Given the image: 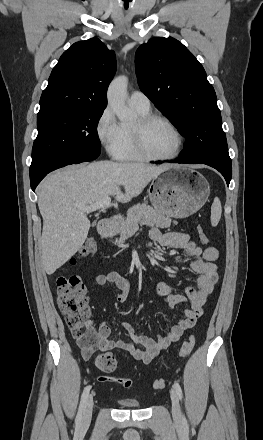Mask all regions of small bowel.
<instances>
[{"label":"small bowel","instance_id":"small-bowel-1","mask_svg":"<svg viewBox=\"0 0 263 440\" xmlns=\"http://www.w3.org/2000/svg\"><path fill=\"white\" fill-rule=\"evenodd\" d=\"M149 238L163 247L182 249L184 255L177 257V262H181L183 258L192 259L190 268L198 274L195 286L187 287L184 294H176L172 292L171 287L164 280L157 285V294L168 306L188 305L184 311V317L165 335H158L156 339L137 334L131 323L125 322L123 328L131 338L129 341L123 339L112 340L108 319H106L98 325L95 331L97 342L93 351L117 348L128 352L137 361L148 364L161 350L178 341L184 332L192 328L202 315L203 304L218 280L217 268L214 263L218 258V250L214 247H207L203 250L190 240L188 234L181 232L162 233L159 229L154 228L150 230ZM107 284H114L118 288L119 293L116 297L118 303L127 301L131 285L126 276L116 271H109L97 274L91 280L92 286Z\"/></svg>","mask_w":263,"mask_h":440}]
</instances>
